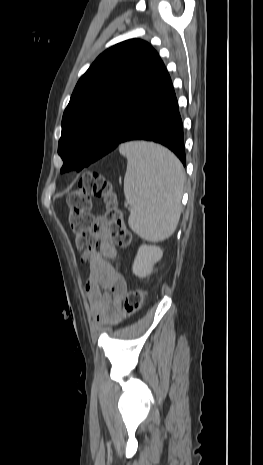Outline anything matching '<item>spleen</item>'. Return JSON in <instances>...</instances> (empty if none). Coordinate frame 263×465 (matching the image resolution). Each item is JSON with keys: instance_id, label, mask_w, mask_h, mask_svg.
I'll list each match as a JSON object with an SVG mask.
<instances>
[{"instance_id": "spleen-1", "label": "spleen", "mask_w": 263, "mask_h": 465, "mask_svg": "<svg viewBox=\"0 0 263 465\" xmlns=\"http://www.w3.org/2000/svg\"><path fill=\"white\" fill-rule=\"evenodd\" d=\"M127 157L124 194L130 204L129 227L151 242L168 238L181 213L185 173L179 159L167 149L146 142L119 147Z\"/></svg>"}]
</instances>
